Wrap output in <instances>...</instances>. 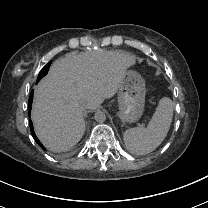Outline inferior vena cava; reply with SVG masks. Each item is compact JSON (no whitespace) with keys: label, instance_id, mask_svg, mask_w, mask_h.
<instances>
[{"label":"inferior vena cava","instance_id":"602c4592","mask_svg":"<svg viewBox=\"0 0 208 208\" xmlns=\"http://www.w3.org/2000/svg\"><path fill=\"white\" fill-rule=\"evenodd\" d=\"M81 109H82V111H84V110L87 109L86 106H85V103H82V104H81Z\"/></svg>","mask_w":208,"mask_h":208}]
</instances>
